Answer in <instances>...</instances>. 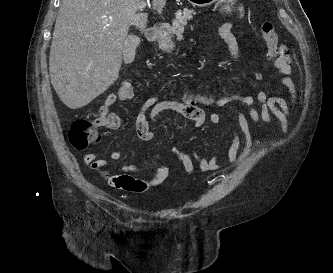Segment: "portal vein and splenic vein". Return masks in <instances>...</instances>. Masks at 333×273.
Returning a JSON list of instances; mask_svg holds the SVG:
<instances>
[{
    "label": "portal vein and splenic vein",
    "instance_id": "18ae733b",
    "mask_svg": "<svg viewBox=\"0 0 333 273\" xmlns=\"http://www.w3.org/2000/svg\"><path fill=\"white\" fill-rule=\"evenodd\" d=\"M146 5L147 3L143 1L138 5V9L142 11L146 7Z\"/></svg>",
    "mask_w": 333,
    "mask_h": 273
}]
</instances>
